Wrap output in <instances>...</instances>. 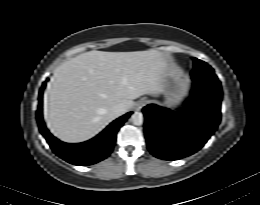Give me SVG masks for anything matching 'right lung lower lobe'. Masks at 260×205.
<instances>
[{
    "mask_svg": "<svg viewBox=\"0 0 260 205\" xmlns=\"http://www.w3.org/2000/svg\"><path fill=\"white\" fill-rule=\"evenodd\" d=\"M46 82L39 91V105L37 120L39 129L53 152L65 161L79 166L97 163L109 156L116 141V133L132 112L113 121L105 130L93 139L77 144H68L59 141L47 130L42 117V96Z\"/></svg>",
    "mask_w": 260,
    "mask_h": 205,
    "instance_id": "right-lung-lower-lobe-1",
    "label": "right lung lower lobe"
}]
</instances>
